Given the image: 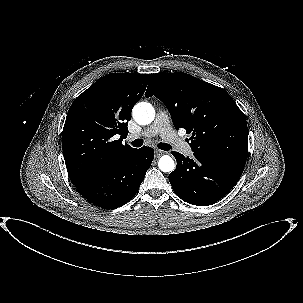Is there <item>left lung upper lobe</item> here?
<instances>
[{
    "label": "left lung upper lobe",
    "mask_w": 303,
    "mask_h": 303,
    "mask_svg": "<svg viewBox=\"0 0 303 303\" xmlns=\"http://www.w3.org/2000/svg\"><path fill=\"white\" fill-rule=\"evenodd\" d=\"M166 105L176 128L191 133L193 152L248 156L245 115L222 88L183 72L157 73L145 96Z\"/></svg>",
    "instance_id": "left-lung-upper-lobe-1"
}]
</instances>
